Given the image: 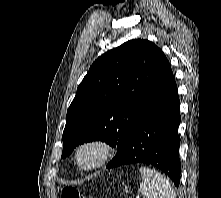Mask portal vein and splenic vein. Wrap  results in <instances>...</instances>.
<instances>
[{
  "instance_id": "18ae733b",
  "label": "portal vein and splenic vein",
  "mask_w": 221,
  "mask_h": 198,
  "mask_svg": "<svg viewBox=\"0 0 221 198\" xmlns=\"http://www.w3.org/2000/svg\"><path fill=\"white\" fill-rule=\"evenodd\" d=\"M136 198H140V196L138 195Z\"/></svg>"
}]
</instances>
